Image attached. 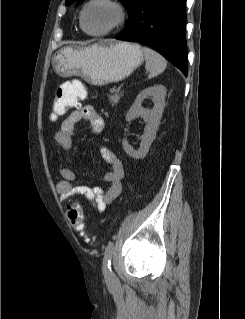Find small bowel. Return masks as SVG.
Segmentation results:
<instances>
[{
  "label": "small bowel",
  "instance_id": "obj_1",
  "mask_svg": "<svg viewBox=\"0 0 245 319\" xmlns=\"http://www.w3.org/2000/svg\"><path fill=\"white\" fill-rule=\"evenodd\" d=\"M82 86L80 80L72 79L64 82L58 88L64 91H75ZM58 90L56 94L58 93ZM88 121L94 133L99 134L105 128V121L101 114L91 105H84L71 112L61 123L59 131L55 134L54 140L68 158L72 156L73 138L76 135L77 124L81 121ZM101 155L108 163L111 170L105 174L104 181L110 186L103 190L97 184L76 183V175L72 168L61 169L62 180L57 183L56 190L61 201H67L75 196H83L95 210L102 212L108 204L113 202L121 193V179L124 176V168L118 156L107 146L101 147Z\"/></svg>",
  "mask_w": 245,
  "mask_h": 319
}]
</instances>
